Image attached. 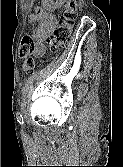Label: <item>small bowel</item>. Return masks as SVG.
Segmentation results:
<instances>
[{
  "label": "small bowel",
  "mask_w": 123,
  "mask_h": 167,
  "mask_svg": "<svg viewBox=\"0 0 123 167\" xmlns=\"http://www.w3.org/2000/svg\"><path fill=\"white\" fill-rule=\"evenodd\" d=\"M46 1L58 2L59 0ZM31 21H36L38 23L32 36L35 41L34 54L35 56L40 57L45 52V41L52 35L58 22L55 15L46 10H39L34 16H32Z\"/></svg>",
  "instance_id": "small-bowel-1"
}]
</instances>
